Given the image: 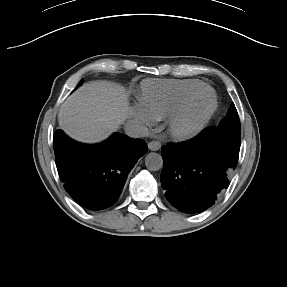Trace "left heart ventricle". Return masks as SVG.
I'll return each mask as SVG.
<instances>
[{"mask_svg":"<svg viewBox=\"0 0 287 287\" xmlns=\"http://www.w3.org/2000/svg\"><path fill=\"white\" fill-rule=\"evenodd\" d=\"M211 97L209 94H202L198 96L191 104L188 113L187 119L193 121L201 117L207 109L210 107Z\"/></svg>","mask_w":287,"mask_h":287,"instance_id":"obj_1","label":"left heart ventricle"}]
</instances>
